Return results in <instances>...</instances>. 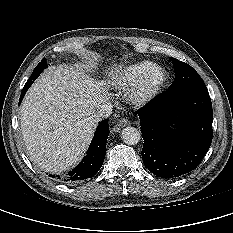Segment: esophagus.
I'll return each instance as SVG.
<instances>
[{
  "label": "esophagus",
  "instance_id": "esophagus-1",
  "mask_svg": "<svg viewBox=\"0 0 233 233\" xmlns=\"http://www.w3.org/2000/svg\"><path fill=\"white\" fill-rule=\"evenodd\" d=\"M130 125V122L128 119H122L120 120L113 128V131H118L120 128H123L125 126Z\"/></svg>",
  "mask_w": 233,
  "mask_h": 233
}]
</instances>
